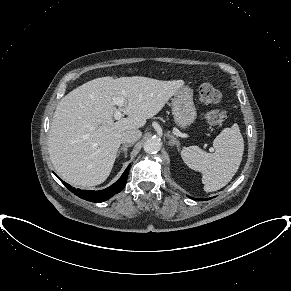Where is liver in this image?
I'll return each mask as SVG.
<instances>
[{
	"label": "liver",
	"mask_w": 291,
	"mask_h": 291,
	"mask_svg": "<svg viewBox=\"0 0 291 291\" xmlns=\"http://www.w3.org/2000/svg\"><path fill=\"white\" fill-rule=\"evenodd\" d=\"M184 85L141 76L101 77L77 87L58 103L48 135V152L57 174L74 186L90 187L109 176L122 133L156 115ZM113 96L125 99L128 117L114 122Z\"/></svg>",
	"instance_id": "1"
}]
</instances>
